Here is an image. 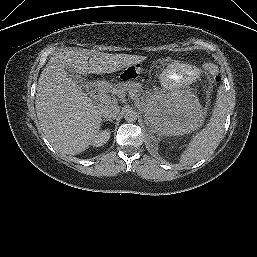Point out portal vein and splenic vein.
Instances as JSON below:
<instances>
[{"label":"portal vein and splenic vein","instance_id":"1","mask_svg":"<svg viewBox=\"0 0 257 257\" xmlns=\"http://www.w3.org/2000/svg\"><path fill=\"white\" fill-rule=\"evenodd\" d=\"M129 94H130V96H132V97L134 96V94H133L132 92H130ZM101 101H102V102H109L110 99H109L108 97H102V98H101Z\"/></svg>","mask_w":257,"mask_h":257}]
</instances>
